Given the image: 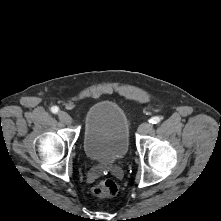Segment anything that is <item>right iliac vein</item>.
Returning a JSON list of instances; mask_svg holds the SVG:
<instances>
[{"label": "right iliac vein", "instance_id": "63e3f726", "mask_svg": "<svg viewBox=\"0 0 221 221\" xmlns=\"http://www.w3.org/2000/svg\"><path fill=\"white\" fill-rule=\"evenodd\" d=\"M58 117H59V119H60L63 123H65V124H70V123L72 122V119H71V117L69 116V114L66 113V112H64V111H60V112L58 113Z\"/></svg>", "mask_w": 221, "mask_h": 221}]
</instances>
